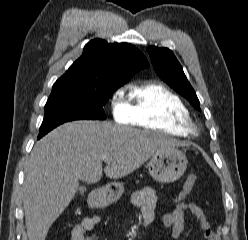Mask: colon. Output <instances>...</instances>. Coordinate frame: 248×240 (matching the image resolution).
<instances>
[{
    "label": "colon",
    "instance_id": "5ec220e1",
    "mask_svg": "<svg viewBox=\"0 0 248 240\" xmlns=\"http://www.w3.org/2000/svg\"><path fill=\"white\" fill-rule=\"evenodd\" d=\"M196 182V176L194 174H190L184 183L183 189L177 199V201H180L184 197L188 195V193L192 190Z\"/></svg>",
    "mask_w": 248,
    "mask_h": 240
}]
</instances>
